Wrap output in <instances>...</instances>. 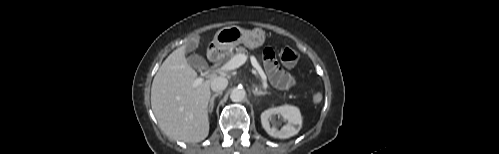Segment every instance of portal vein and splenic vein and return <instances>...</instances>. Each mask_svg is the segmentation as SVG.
<instances>
[{
    "instance_id": "portal-vein-and-splenic-vein-1",
    "label": "portal vein and splenic vein",
    "mask_w": 499,
    "mask_h": 154,
    "mask_svg": "<svg viewBox=\"0 0 499 154\" xmlns=\"http://www.w3.org/2000/svg\"><path fill=\"white\" fill-rule=\"evenodd\" d=\"M247 60V56L245 54H237L234 57H232L226 64L221 66L218 71L219 72H226V71H231L236 68H239L241 65H243ZM253 66L258 70L262 81H263V86L267 87V78L266 75L264 74L262 68L258 65L257 62L253 63ZM253 73H256V71H253ZM205 80V77H198L194 81V86L197 87L199 86L203 81Z\"/></svg>"
}]
</instances>
